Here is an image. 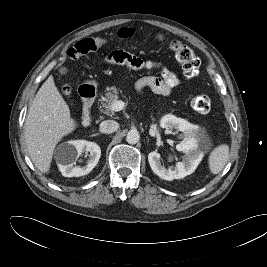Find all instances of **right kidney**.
<instances>
[{
    "instance_id": "obj_1",
    "label": "right kidney",
    "mask_w": 267,
    "mask_h": 267,
    "mask_svg": "<svg viewBox=\"0 0 267 267\" xmlns=\"http://www.w3.org/2000/svg\"><path fill=\"white\" fill-rule=\"evenodd\" d=\"M83 152L90 153L87 165L82 167L76 166V161ZM62 154L63 159L59 163V170L62 175L65 177H79L90 173L97 165L101 156V148L94 142L75 140L69 141L66 144Z\"/></svg>"
}]
</instances>
